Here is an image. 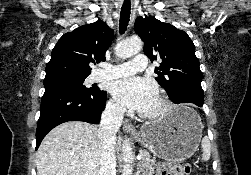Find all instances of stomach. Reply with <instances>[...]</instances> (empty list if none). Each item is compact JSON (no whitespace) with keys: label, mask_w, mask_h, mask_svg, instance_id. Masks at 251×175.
I'll use <instances>...</instances> for the list:
<instances>
[{"label":"stomach","mask_w":251,"mask_h":175,"mask_svg":"<svg viewBox=\"0 0 251 175\" xmlns=\"http://www.w3.org/2000/svg\"><path fill=\"white\" fill-rule=\"evenodd\" d=\"M202 129L201 117L195 109L176 105L164 119L143 123L135 137L161 159H188L198 149Z\"/></svg>","instance_id":"stomach-1"}]
</instances>
